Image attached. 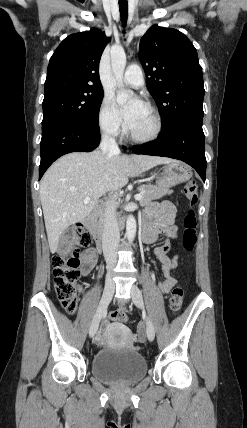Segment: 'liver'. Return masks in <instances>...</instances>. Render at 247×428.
<instances>
[{
	"instance_id": "liver-1",
	"label": "liver",
	"mask_w": 247,
	"mask_h": 428,
	"mask_svg": "<svg viewBox=\"0 0 247 428\" xmlns=\"http://www.w3.org/2000/svg\"><path fill=\"white\" fill-rule=\"evenodd\" d=\"M174 161L148 155L104 156L100 150L58 159L44 174L39 190L51 253L58 251L63 232L85 219L102 194L121 189L129 177ZM85 197H90L87 204Z\"/></svg>"
}]
</instances>
